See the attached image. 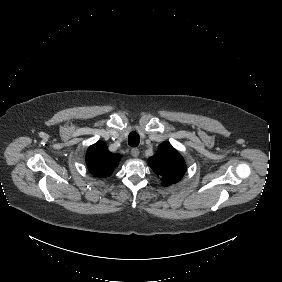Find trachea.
I'll return each instance as SVG.
<instances>
[{
    "instance_id": "obj_1",
    "label": "trachea",
    "mask_w": 282,
    "mask_h": 282,
    "mask_svg": "<svg viewBox=\"0 0 282 282\" xmlns=\"http://www.w3.org/2000/svg\"><path fill=\"white\" fill-rule=\"evenodd\" d=\"M140 143V136L137 132L132 131L129 135H128V144L131 147H137Z\"/></svg>"
}]
</instances>
